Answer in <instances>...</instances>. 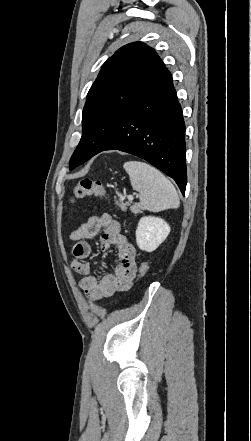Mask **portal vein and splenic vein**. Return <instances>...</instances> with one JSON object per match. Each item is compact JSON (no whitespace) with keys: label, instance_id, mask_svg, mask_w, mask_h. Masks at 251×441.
Masks as SVG:
<instances>
[{"label":"portal vein and splenic vein","instance_id":"1","mask_svg":"<svg viewBox=\"0 0 251 441\" xmlns=\"http://www.w3.org/2000/svg\"><path fill=\"white\" fill-rule=\"evenodd\" d=\"M129 200H131V199H133V196L132 195H128V197H127Z\"/></svg>","mask_w":251,"mask_h":441}]
</instances>
